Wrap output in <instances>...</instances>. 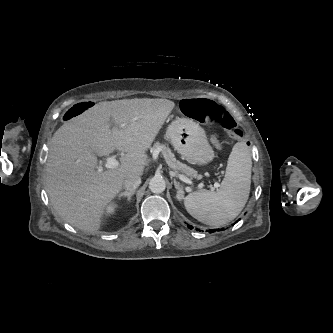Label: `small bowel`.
Segmentation results:
<instances>
[{"label": "small bowel", "mask_w": 333, "mask_h": 333, "mask_svg": "<svg viewBox=\"0 0 333 333\" xmlns=\"http://www.w3.org/2000/svg\"><path fill=\"white\" fill-rule=\"evenodd\" d=\"M206 137H211L210 139V146L212 147V149H217L218 148H225L228 145V138L223 135V134H214L213 136H211V132H206Z\"/></svg>", "instance_id": "small-bowel-1"}]
</instances>
